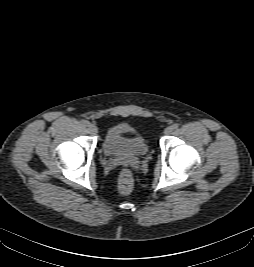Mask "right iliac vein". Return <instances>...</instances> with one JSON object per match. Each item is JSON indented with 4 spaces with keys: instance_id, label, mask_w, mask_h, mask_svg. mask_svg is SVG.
<instances>
[{
    "instance_id": "right-iliac-vein-1",
    "label": "right iliac vein",
    "mask_w": 254,
    "mask_h": 267,
    "mask_svg": "<svg viewBox=\"0 0 254 267\" xmlns=\"http://www.w3.org/2000/svg\"><path fill=\"white\" fill-rule=\"evenodd\" d=\"M88 129L92 134H97L98 133V128L94 124H89Z\"/></svg>"
}]
</instances>
